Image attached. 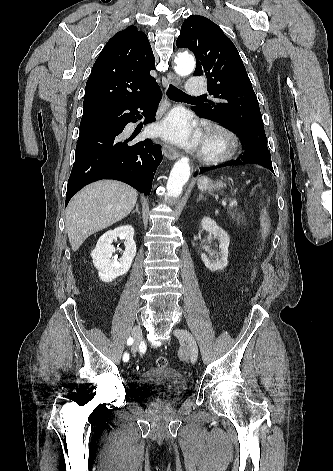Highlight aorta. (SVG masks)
<instances>
[{
  "mask_svg": "<svg viewBox=\"0 0 333 471\" xmlns=\"http://www.w3.org/2000/svg\"><path fill=\"white\" fill-rule=\"evenodd\" d=\"M195 68L194 58L190 55H180L175 59V71L181 77L187 76ZM190 177V164L187 157H182L173 166L167 181V195L177 198L182 192L183 186Z\"/></svg>",
  "mask_w": 333,
  "mask_h": 471,
  "instance_id": "obj_1",
  "label": "aorta"
}]
</instances>
